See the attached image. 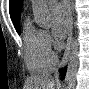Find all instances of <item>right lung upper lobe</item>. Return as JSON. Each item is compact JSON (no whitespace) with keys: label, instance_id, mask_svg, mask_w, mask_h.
<instances>
[{"label":"right lung upper lobe","instance_id":"1","mask_svg":"<svg viewBox=\"0 0 89 89\" xmlns=\"http://www.w3.org/2000/svg\"><path fill=\"white\" fill-rule=\"evenodd\" d=\"M22 4H23V0H14L10 10V15L12 17L16 30L20 29V17H21Z\"/></svg>","mask_w":89,"mask_h":89}]
</instances>
